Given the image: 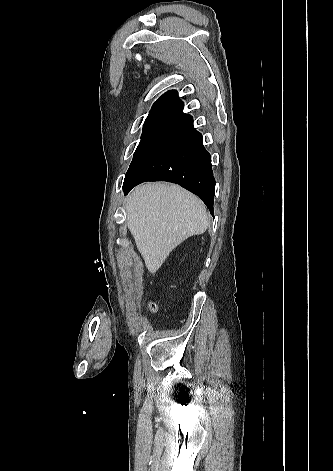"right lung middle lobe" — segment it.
Instances as JSON below:
<instances>
[{
	"instance_id": "right-lung-middle-lobe-1",
	"label": "right lung middle lobe",
	"mask_w": 333,
	"mask_h": 471,
	"mask_svg": "<svg viewBox=\"0 0 333 471\" xmlns=\"http://www.w3.org/2000/svg\"><path fill=\"white\" fill-rule=\"evenodd\" d=\"M175 123L176 121L169 119L147 118L143 126L141 141L134 153L131 164L138 158L145 148L152 143L153 140Z\"/></svg>"
}]
</instances>
